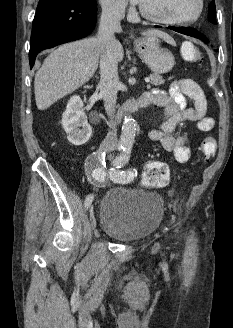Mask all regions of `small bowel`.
<instances>
[{
	"instance_id": "c3829d8e",
	"label": "small bowel",
	"mask_w": 233,
	"mask_h": 328,
	"mask_svg": "<svg viewBox=\"0 0 233 328\" xmlns=\"http://www.w3.org/2000/svg\"><path fill=\"white\" fill-rule=\"evenodd\" d=\"M152 103L162 107L160 123L149 131V138L159 142L165 151L171 152L180 163H186L191 157L186 134H175L182 122H192L202 132H209L215 126V120L207 116V100L202 88L192 79L173 82L168 90L155 89L149 93ZM193 101V107L186 106V99Z\"/></svg>"
}]
</instances>
